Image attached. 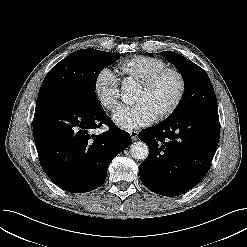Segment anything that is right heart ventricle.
<instances>
[{
    "instance_id": "right-heart-ventricle-1",
    "label": "right heart ventricle",
    "mask_w": 247,
    "mask_h": 247,
    "mask_svg": "<svg viewBox=\"0 0 247 247\" xmlns=\"http://www.w3.org/2000/svg\"><path fill=\"white\" fill-rule=\"evenodd\" d=\"M165 67H167L166 63L159 58L136 56L118 63L115 72L123 83L129 81L139 83L148 75Z\"/></svg>"
}]
</instances>
